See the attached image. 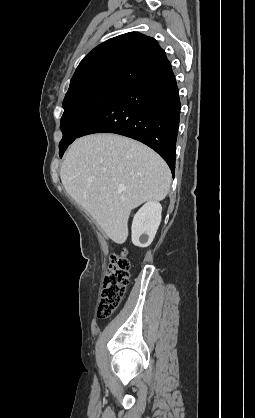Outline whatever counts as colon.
<instances>
[{
    "mask_svg": "<svg viewBox=\"0 0 255 418\" xmlns=\"http://www.w3.org/2000/svg\"><path fill=\"white\" fill-rule=\"evenodd\" d=\"M130 280V263L124 254L112 255L105 273L97 314L111 316L120 305Z\"/></svg>",
    "mask_w": 255,
    "mask_h": 418,
    "instance_id": "5ec220e1",
    "label": "colon"
}]
</instances>
